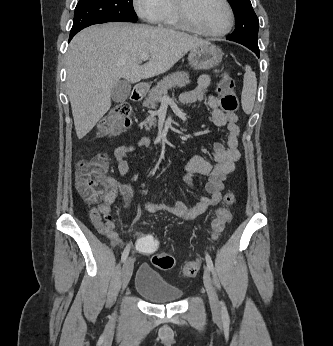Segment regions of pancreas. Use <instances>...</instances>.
<instances>
[{"label": "pancreas", "instance_id": "pancreas-1", "mask_svg": "<svg viewBox=\"0 0 333 346\" xmlns=\"http://www.w3.org/2000/svg\"><path fill=\"white\" fill-rule=\"evenodd\" d=\"M190 83L188 73L178 71L164 77L156 87H154L148 97L144 100L143 105L147 108L154 109L159 102L162 101L163 95L172 87H184ZM146 130H150L152 126H156L155 112L150 111V115L143 122Z\"/></svg>", "mask_w": 333, "mask_h": 346}]
</instances>
